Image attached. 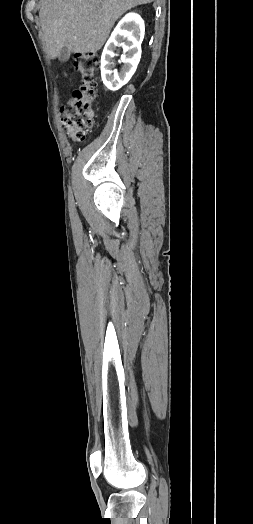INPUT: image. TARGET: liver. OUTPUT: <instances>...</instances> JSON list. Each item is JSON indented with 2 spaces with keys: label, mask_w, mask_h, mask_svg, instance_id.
<instances>
[{
  "label": "liver",
  "mask_w": 253,
  "mask_h": 524,
  "mask_svg": "<svg viewBox=\"0 0 253 524\" xmlns=\"http://www.w3.org/2000/svg\"><path fill=\"white\" fill-rule=\"evenodd\" d=\"M154 0H41L40 25L47 55L67 47L94 53L104 45L115 21L131 8Z\"/></svg>",
  "instance_id": "obj_1"
}]
</instances>
